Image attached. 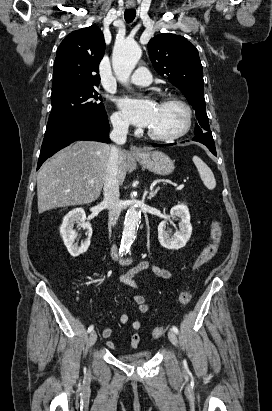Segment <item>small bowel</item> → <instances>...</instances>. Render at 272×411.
Returning a JSON list of instances; mask_svg holds the SVG:
<instances>
[{"mask_svg": "<svg viewBox=\"0 0 272 411\" xmlns=\"http://www.w3.org/2000/svg\"><path fill=\"white\" fill-rule=\"evenodd\" d=\"M145 270H151L157 276L164 278V279H169L171 277V273L165 267L157 265L151 261L145 260V261H141L137 263L136 265H134L132 268L129 269V271L125 275L120 276L119 281L123 283L124 285L128 286L129 288H131L132 290L138 291L139 285L135 281V275ZM133 300L136 303L137 309L140 313L148 312L149 302L144 295L134 294ZM119 322L121 324L128 323L129 316L126 313L121 314L119 316ZM131 327L134 332L131 335L128 348L129 350H134L138 347L140 340H141L140 334L138 333L139 329L141 328V322L139 320H135L132 322ZM112 334H113V331L110 328L104 327L101 330V335L106 339H109L112 336ZM106 345L110 349L116 348L115 343L111 340H108Z\"/></svg>", "mask_w": 272, "mask_h": 411, "instance_id": "1", "label": "small bowel"}]
</instances>
